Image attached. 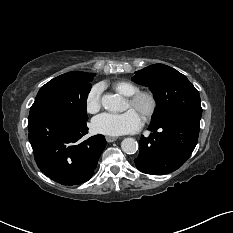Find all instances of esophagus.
I'll return each mask as SVG.
<instances>
[{"mask_svg": "<svg viewBox=\"0 0 233 233\" xmlns=\"http://www.w3.org/2000/svg\"><path fill=\"white\" fill-rule=\"evenodd\" d=\"M117 139H118L117 137H111V136H107V137H106V141L109 142V143L114 142V141H116Z\"/></svg>", "mask_w": 233, "mask_h": 233, "instance_id": "obj_1", "label": "esophagus"}]
</instances>
